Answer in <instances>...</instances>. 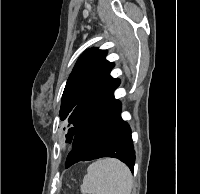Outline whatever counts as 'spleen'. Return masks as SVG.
Masks as SVG:
<instances>
[{
    "label": "spleen",
    "mask_w": 201,
    "mask_h": 194,
    "mask_svg": "<svg viewBox=\"0 0 201 194\" xmlns=\"http://www.w3.org/2000/svg\"><path fill=\"white\" fill-rule=\"evenodd\" d=\"M133 186L129 168L113 158L89 165L80 187L82 194H131Z\"/></svg>",
    "instance_id": "obj_1"
}]
</instances>
